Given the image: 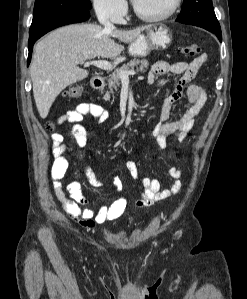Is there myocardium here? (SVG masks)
<instances>
[{"mask_svg": "<svg viewBox=\"0 0 247 299\" xmlns=\"http://www.w3.org/2000/svg\"><path fill=\"white\" fill-rule=\"evenodd\" d=\"M181 0H172L170 7L163 13L156 15H149L141 12L135 4H133V11L136 16L147 22H160L170 18L179 8Z\"/></svg>", "mask_w": 247, "mask_h": 299, "instance_id": "1", "label": "myocardium"}]
</instances>
